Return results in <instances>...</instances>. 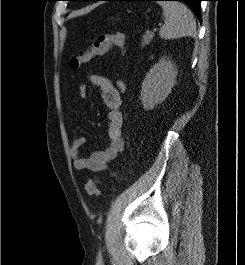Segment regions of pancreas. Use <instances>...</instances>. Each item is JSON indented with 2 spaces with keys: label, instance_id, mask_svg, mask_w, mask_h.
I'll return each mask as SVG.
<instances>
[{
  "label": "pancreas",
  "instance_id": "cf45deb5",
  "mask_svg": "<svg viewBox=\"0 0 245 265\" xmlns=\"http://www.w3.org/2000/svg\"><path fill=\"white\" fill-rule=\"evenodd\" d=\"M153 36H154L153 33H149V34L143 35V39H142V42H141V47H145L146 45H148L152 41Z\"/></svg>",
  "mask_w": 245,
  "mask_h": 265
}]
</instances>
